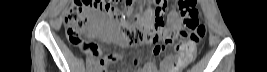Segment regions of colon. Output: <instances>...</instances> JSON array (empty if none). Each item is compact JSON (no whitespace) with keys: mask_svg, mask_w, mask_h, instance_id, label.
<instances>
[{"mask_svg":"<svg viewBox=\"0 0 267 72\" xmlns=\"http://www.w3.org/2000/svg\"><path fill=\"white\" fill-rule=\"evenodd\" d=\"M132 0H74L65 10L64 24L69 42L82 50L88 49L84 33L89 28V14H100L108 17L110 29L123 36L130 44L137 45L147 41L156 54L161 53L174 41L172 32L163 25V15L168 1L162 0L153 8L145 11V16L151 23V29L126 26L120 23L122 13L116 5H131ZM179 9L183 19L182 36L185 38L178 46L176 71L190 64L197 54V46L205 36V27L198 20V10L195 0H180ZM126 10V9H125ZM109 58L107 62H111ZM117 71V70H115Z\"/></svg>","mask_w":267,"mask_h":72,"instance_id":"1","label":"colon"}]
</instances>
